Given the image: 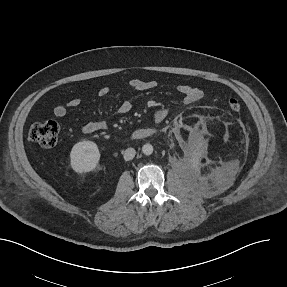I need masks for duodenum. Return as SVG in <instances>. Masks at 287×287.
<instances>
[{
	"instance_id": "410a0bca",
	"label": "duodenum",
	"mask_w": 287,
	"mask_h": 287,
	"mask_svg": "<svg viewBox=\"0 0 287 287\" xmlns=\"http://www.w3.org/2000/svg\"><path fill=\"white\" fill-rule=\"evenodd\" d=\"M153 134L152 130L147 129V128H142L134 131L131 135V138L133 140H142L145 138L150 137Z\"/></svg>"
}]
</instances>
